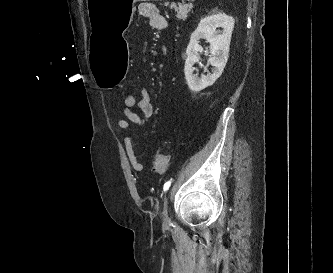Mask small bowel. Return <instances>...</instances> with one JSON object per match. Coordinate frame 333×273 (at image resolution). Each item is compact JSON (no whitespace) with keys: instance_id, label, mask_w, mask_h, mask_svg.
Wrapping results in <instances>:
<instances>
[{"instance_id":"c3829d8e","label":"small bowel","mask_w":333,"mask_h":273,"mask_svg":"<svg viewBox=\"0 0 333 273\" xmlns=\"http://www.w3.org/2000/svg\"><path fill=\"white\" fill-rule=\"evenodd\" d=\"M139 12L142 16L149 19L150 26L154 29L162 30L169 26L168 19L161 15L153 4H141L139 7ZM135 108H137L140 113L134 112L133 109H122V115L124 116V119L117 121V127L119 129L129 131L131 129L130 122L136 125H145L151 120L154 115V109L151 102L150 93L147 88H141L138 97L136 96ZM124 146L131 167L134 171L141 172L144 169V166L136 156L133 139L131 136L125 137Z\"/></svg>"}]
</instances>
